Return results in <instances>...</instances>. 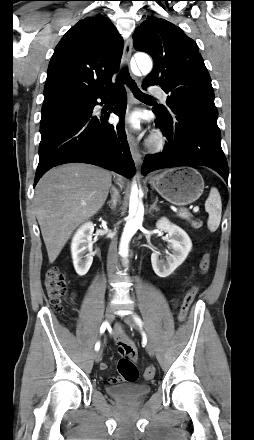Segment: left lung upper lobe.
<instances>
[{"label":"left lung upper lobe","mask_w":254,"mask_h":440,"mask_svg":"<svg viewBox=\"0 0 254 440\" xmlns=\"http://www.w3.org/2000/svg\"><path fill=\"white\" fill-rule=\"evenodd\" d=\"M133 39L135 49L154 60L153 70L143 83L159 85L168 94V108L157 109L161 114L170 116L171 106L182 104L218 115L203 58L197 44L182 29L164 19L149 18L136 28Z\"/></svg>","instance_id":"5c2ea615"}]
</instances>
